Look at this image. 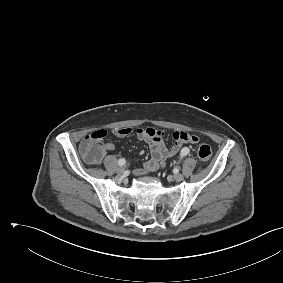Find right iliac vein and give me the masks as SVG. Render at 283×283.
I'll return each mask as SVG.
<instances>
[{
    "label": "right iliac vein",
    "instance_id": "obj_1",
    "mask_svg": "<svg viewBox=\"0 0 283 283\" xmlns=\"http://www.w3.org/2000/svg\"><path fill=\"white\" fill-rule=\"evenodd\" d=\"M124 171H125V169H124L123 167H118V168L116 169V172H117V174H119V175L123 174Z\"/></svg>",
    "mask_w": 283,
    "mask_h": 283
}]
</instances>
